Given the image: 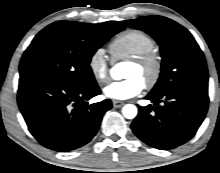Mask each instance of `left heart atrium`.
<instances>
[{
  "instance_id": "left-heart-atrium-1",
  "label": "left heart atrium",
  "mask_w": 220,
  "mask_h": 173,
  "mask_svg": "<svg viewBox=\"0 0 220 173\" xmlns=\"http://www.w3.org/2000/svg\"><path fill=\"white\" fill-rule=\"evenodd\" d=\"M144 89V83L137 77L112 82L104 88V95L113 100H126L139 95Z\"/></svg>"
}]
</instances>
